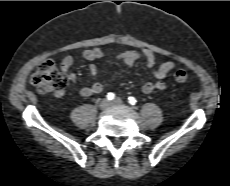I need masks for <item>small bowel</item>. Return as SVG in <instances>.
Listing matches in <instances>:
<instances>
[{"label":"small bowel","mask_w":230,"mask_h":186,"mask_svg":"<svg viewBox=\"0 0 230 186\" xmlns=\"http://www.w3.org/2000/svg\"><path fill=\"white\" fill-rule=\"evenodd\" d=\"M107 55L99 48L86 49L82 53V58L86 61L93 62L98 59L106 58ZM116 60H121L126 68H131L137 61L142 60L147 67L152 69V73L156 78L155 81H147L143 83L141 89L143 93L149 94L154 91H162L166 85L163 79L175 68V63L172 61H166L155 67L156 57L150 49H142L140 51L127 50L114 57ZM74 64V58L70 55L65 56L61 62L62 71L67 75L68 79L72 83L77 82V77L72 71ZM89 71L92 77L96 80L90 86L80 88L79 94L82 97H89L92 95L100 94L104 90V86L97 80L98 69L95 64H89ZM57 97L62 96V93L56 95Z\"/></svg>","instance_id":"small-bowel-1"}]
</instances>
